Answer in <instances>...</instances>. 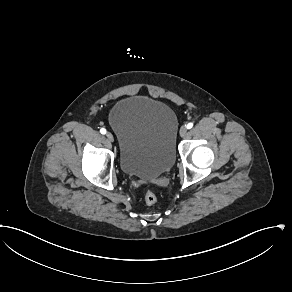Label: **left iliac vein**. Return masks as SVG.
Masks as SVG:
<instances>
[{
	"label": "left iliac vein",
	"instance_id": "obj_1",
	"mask_svg": "<svg viewBox=\"0 0 292 292\" xmlns=\"http://www.w3.org/2000/svg\"><path fill=\"white\" fill-rule=\"evenodd\" d=\"M187 132H188L187 127L182 126V127L180 128V132H179V134H180L181 137H185V136L187 135Z\"/></svg>",
	"mask_w": 292,
	"mask_h": 292
}]
</instances>
